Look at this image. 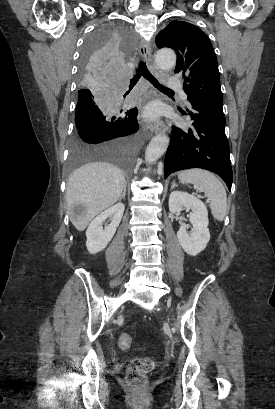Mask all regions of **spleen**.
Wrapping results in <instances>:
<instances>
[{
    "mask_svg": "<svg viewBox=\"0 0 275 409\" xmlns=\"http://www.w3.org/2000/svg\"><path fill=\"white\" fill-rule=\"evenodd\" d=\"M178 178L181 182H191L196 186H202L205 196L210 198V209L214 219L223 221L227 211L226 190L215 174L209 170H202V168H190V170L179 172Z\"/></svg>",
    "mask_w": 275,
    "mask_h": 409,
    "instance_id": "3e777b00",
    "label": "spleen"
}]
</instances>
